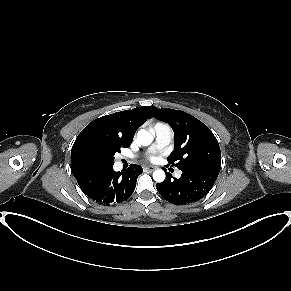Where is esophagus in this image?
Listing matches in <instances>:
<instances>
[{
    "label": "esophagus",
    "mask_w": 291,
    "mask_h": 291,
    "mask_svg": "<svg viewBox=\"0 0 291 291\" xmlns=\"http://www.w3.org/2000/svg\"><path fill=\"white\" fill-rule=\"evenodd\" d=\"M155 169H156L155 166H144V170H146V171H150V172H152V171H154Z\"/></svg>",
    "instance_id": "esophagus-1"
}]
</instances>
